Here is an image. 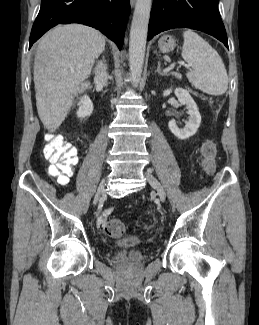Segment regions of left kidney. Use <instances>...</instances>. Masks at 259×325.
Segmentation results:
<instances>
[{
    "mask_svg": "<svg viewBox=\"0 0 259 325\" xmlns=\"http://www.w3.org/2000/svg\"><path fill=\"white\" fill-rule=\"evenodd\" d=\"M172 92V89H167L163 92V96H168ZM174 93L180 104L186 105L188 109L187 114L189 115L188 121L185 124L184 128H179L175 120H171L168 123L170 131L180 140H185L193 136L201 123V115L199 113L198 107L189 94V92L182 88H176Z\"/></svg>",
    "mask_w": 259,
    "mask_h": 325,
    "instance_id": "5707ae66",
    "label": "left kidney"
}]
</instances>
